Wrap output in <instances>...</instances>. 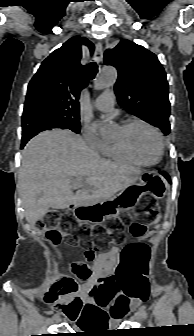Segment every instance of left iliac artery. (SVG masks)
<instances>
[{"label":"left iliac artery","mask_w":194,"mask_h":336,"mask_svg":"<svg viewBox=\"0 0 194 336\" xmlns=\"http://www.w3.org/2000/svg\"><path fill=\"white\" fill-rule=\"evenodd\" d=\"M139 311H140V312L143 314V317H144V318H146V317H147V312H146V310H145V307H144V306L140 307Z\"/></svg>","instance_id":"1"}]
</instances>
